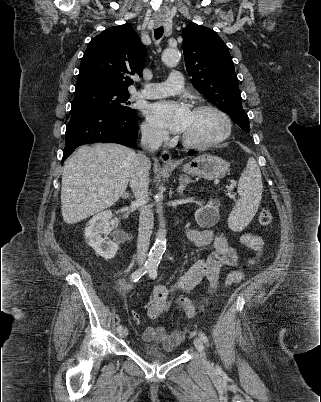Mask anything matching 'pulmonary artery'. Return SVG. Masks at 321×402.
<instances>
[{
	"mask_svg": "<svg viewBox=\"0 0 321 402\" xmlns=\"http://www.w3.org/2000/svg\"><path fill=\"white\" fill-rule=\"evenodd\" d=\"M183 76L180 72H173L162 83H148L138 91V96L146 99H156L178 93L183 88Z\"/></svg>",
	"mask_w": 321,
	"mask_h": 402,
	"instance_id": "1",
	"label": "pulmonary artery"
}]
</instances>
